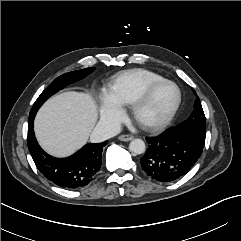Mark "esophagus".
I'll use <instances>...</instances> for the list:
<instances>
[{
    "label": "esophagus",
    "instance_id": "34e87169",
    "mask_svg": "<svg viewBox=\"0 0 241 241\" xmlns=\"http://www.w3.org/2000/svg\"><path fill=\"white\" fill-rule=\"evenodd\" d=\"M118 139H119L120 141H130V140L133 139V136H132V135H120V136L118 137Z\"/></svg>",
    "mask_w": 241,
    "mask_h": 241
}]
</instances>
